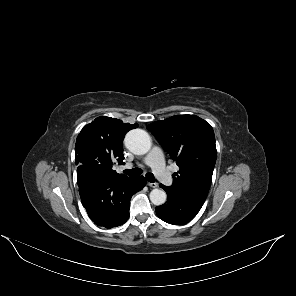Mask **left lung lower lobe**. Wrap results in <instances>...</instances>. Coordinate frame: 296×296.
Masks as SVG:
<instances>
[{"label":"left lung lower lobe","instance_id":"0a47b994","mask_svg":"<svg viewBox=\"0 0 296 296\" xmlns=\"http://www.w3.org/2000/svg\"><path fill=\"white\" fill-rule=\"evenodd\" d=\"M167 193V202L156 207L157 215L165 222L180 225L192 220L205 202L207 195L180 193L160 184Z\"/></svg>","mask_w":296,"mask_h":296}]
</instances>
